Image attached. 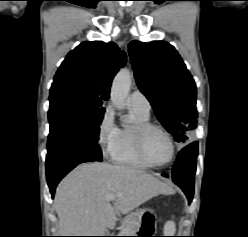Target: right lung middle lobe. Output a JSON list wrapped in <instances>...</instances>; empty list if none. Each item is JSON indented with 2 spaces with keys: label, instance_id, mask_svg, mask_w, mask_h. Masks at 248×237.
<instances>
[{
  "label": "right lung middle lobe",
  "instance_id": "obj_1",
  "mask_svg": "<svg viewBox=\"0 0 248 237\" xmlns=\"http://www.w3.org/2000/svg\"><path fill=\"white\" fill-rule=\"evenodd\" d=\"M105 109L71 99L50 102L49 137L65 136L98 142Z\"/></svg>",
  "mask_w": 248,
  "mask_h": 237
}]
</instances>
